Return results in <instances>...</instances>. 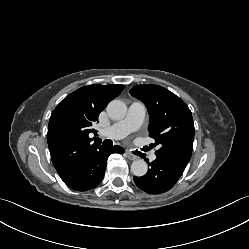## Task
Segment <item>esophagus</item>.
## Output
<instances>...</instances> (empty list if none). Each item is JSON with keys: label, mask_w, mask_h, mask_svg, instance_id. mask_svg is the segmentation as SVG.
I'll list each match as a JSON object with an SVG mask.
<instances>
[{"label": "esophagus", "mask_w": 249, "mask_h": 249, "mask_svg": "<svg viewBox=\"0 0 249 249\" xmlns=\"http://www.w3.org/2000/svg\"><path fill=\"white\" fill-rule=\"evenodd\" d=\"M125 153H126L127 158L130 159V160H136V159H138V156L132 154V153H131L130 151H128V150H127Z\"/></svg>", "instance_id": "1"}]
</instances>
